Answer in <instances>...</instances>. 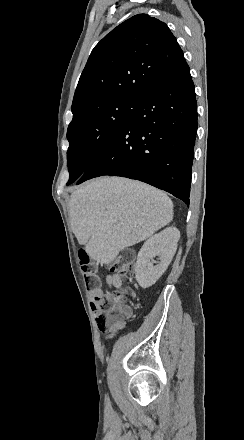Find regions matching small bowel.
<instances>
[{
    "label": "small bowel",
    "instance_id": "small-bowel-1",
    "mask_svg": "<svg viewBox=\"0 0 244 440\" xmlns=\"http://www.w3.org/2000/svg\"><path fill=\"white\" fill-rule=\"evenodd\" d=\"M107 284L111 287H120L121 286V280L120 277L117 275H108L106 278ZM102 293L101 289H96L91 292V296L95 298L96 296L100 295ZM113 335H108V338H112Z\"/></svg>",
    "mask_w": 244,
    "mask_h": 440
}]
</instances>
